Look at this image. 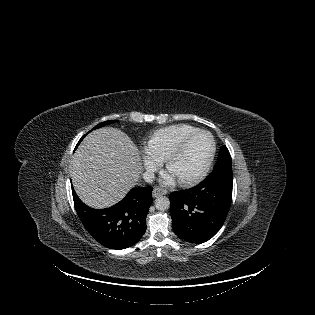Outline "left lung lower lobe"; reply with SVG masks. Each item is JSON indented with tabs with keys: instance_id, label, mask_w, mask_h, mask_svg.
<instances>
[{
	"instance_id": "1",
	"label": "left lung lower lobe",
	"mask_w": 315,
	"mask_h": 315,
	"mask_svg": "<svg viewBox=\"0 0 315 315\" xmlns=\"http://www.w3.org/2000/svg\"><path fill=\"white\" fill-rule=\"evenodd\" d=\"M233 179L203 180L193 188L173 192L170 214L173 231L190 243H203L222 227L232 200Z\"/></svg>"
}]
</instances>
